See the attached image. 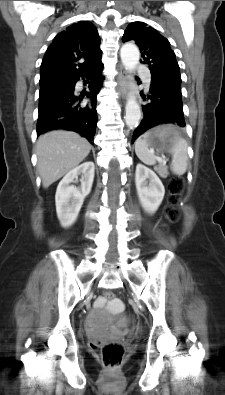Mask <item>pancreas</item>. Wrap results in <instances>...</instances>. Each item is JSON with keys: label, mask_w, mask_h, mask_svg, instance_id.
I'll return each mask as SVG.
<instances>
[{"label": "pancreas", "mask_w": 225, "mask_h": 395, "mask_svg": "<svg viewBox=\"0 0 225 395\" xmlns=\"http://www.w3.org/2000/svg\"><path fill=\"white\" fill-rule=\"evenodd\" d=\"M160 174L164 178L167 177V171L166 170L160 171Z\"/></svg>", "instance_id": "pancreas-1"}]
</instances>
